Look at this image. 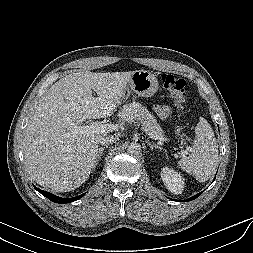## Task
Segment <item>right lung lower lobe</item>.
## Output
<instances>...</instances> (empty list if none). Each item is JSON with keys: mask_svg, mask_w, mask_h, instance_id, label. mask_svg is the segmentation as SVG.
<instances>
[{"mask_svg": "<svg viewBox=\"0 0 253 253\" xmlns=\"http://www.w3.org/2000/svg\"><path fill=\"white\" fill-rule=\"evenodd\" d=\"M38 192H40L42 195H44L45 197H47L49 200H51L52 202H55V203H69V202H73L75 200H78L80 199L83 195H79V196H76V197H73V198H61V197H58V196H55L49 192H46L44 190H41L39 188H36L34 187Z\"/></svg>", "mask_w": 253, "mask_h": 253, "instance_id": "98d812e1", "label": "right lung lower lobe"}]
</instances>
